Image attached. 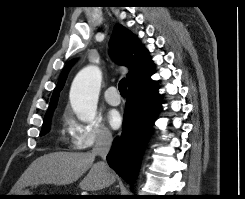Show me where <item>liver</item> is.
Masks as SVG:
<instances>
[{
    "label": "liver",
    "instance_id": "liver-1",
    "mask_svg": "<svg viewBox=\"0 0 245 199\" xmlns=\"http://www.w3.org/2000/svg\"><path fill=\"white\" fill-rule=\"evenodd\" d=\"M91 152H53L37 158L24 172L16 190L39 184L68 185L77 181L87 170L79 186L82 190L97 191L115 182V175L108 168L94 163Z\"/></svg>",
    "mask_w": 245,
    "mask_h": 199
}]
</instances>
